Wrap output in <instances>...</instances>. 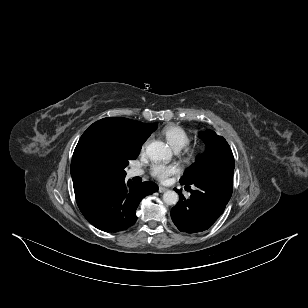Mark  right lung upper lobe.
Segmentation results:
<instances>
[{
	"instance_id": "right-lung-upper-lobe-1",
	"label": "right lung upper lobe",
	"mask_w": 308,
	"mask_h": 308,
	"mask_svg": "<svg viewBox=\"0 0 308 308\" xmlns=\"http://www.w3.org/2000/svg\"><path fill=\"white\" fill-rule=\"evenodd\" d=\"M154 125L113 117L88 127L71 162L76 200L124 179V163L137 158L143 143L155 131Z\"/></svg>"
}]
</instances>
